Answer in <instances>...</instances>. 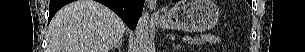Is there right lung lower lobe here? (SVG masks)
<instances>
[{
    "label": "right lung lower lobe",
    "instance_id": "1",
    "mask_svg": "<svg viewBox=\"0 0 305 52\" xmlns=\"http://www.w3.org/2000/svg\"><path fill=\"white\" fill-rule=\"evenodd\" d=\"M73 0H51L49 6V19L64 5ZM113 10L130 29L136 27L139 16L142 13L144 0H96Z\"/></svg>",
    "mask_w": 305,
    "mask_h": 52
}]
</instances>
